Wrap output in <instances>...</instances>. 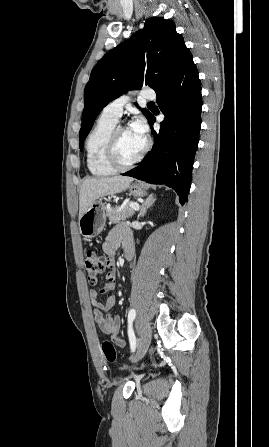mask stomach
Segmentation results:
<instances>
[{
    "label": "stomach",
    "instance_id": "0dacf381",
    "mask_svg": "<svg viewBox=\"0 0 269 447\" xmlns=\"http://www.w3.org/2000/svg\"><path fill=\"white\" fill-rule=\"evenodd\" d=\"M149 186L147 184H132L127 188L131 196H136V198H143L146 196ZM105 196L97 198L87 212L81 216L79 220V229L83 237H95L98 233H101L105 222H106V212L105 204L103 202Z\"/></svg>",
    "mask_w": 269,
    "mask_h": 447
}]
</instances>
